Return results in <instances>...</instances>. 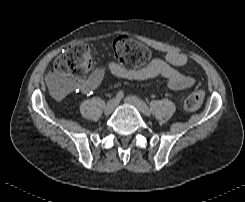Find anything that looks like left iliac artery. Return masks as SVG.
I'll return each mask as SVG.
<instances>
[{"label":"left iliac artery","mask_w":245,"mask_h":202,"mask_svg":"<svg viewBox=\"0 0 245 202\" xmlns=\"http://www.w3.org/2000/svg\"><path fill=\"white\" fill-rule=\"evenodd\" d=\"M141 104H142L143 112H144L147 116H150V110H149L148 106L145 104L144 101H141Z\"/></svg>","instance_id":"44dca946"}]
</instances>
